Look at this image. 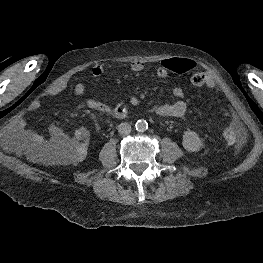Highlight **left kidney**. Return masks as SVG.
Listing matches in <instances>:
<instances>
[{
	"mask_svg": "<svg viewBox=\"0 0 263 263\" xmlns=\"http://www.w3.org/2000/svg\"><path fill=\"white\" fill-rule=\"evenodd\" d=\"M182 145L188 152H198L203 142L195 131L187 130L183 133Z\"/></svg>",
	"mask_w": 263,
	"mask_h": 263,
	"instance_id": "left-kidney-1",
	"label": "left kidney"
}]
</instances>
